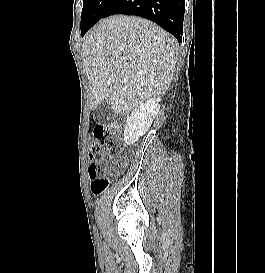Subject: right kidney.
<instances>
[{
    "mask_svg": "<svg viewBox=\"0 0 265 273\" xmlns=\"http://www.w3.org/2000/svg\"><path fill=\"white\" fill-rule=\"evenodd\" d=\"M161 97H153L133 109L124 128V141L135 144L150 128L160 110Z\"/></svg>",
    "mask_w": 265,
    "mask_h": 273,
    "instance_id": "right-kidney-1",
    "label": "right kidney"
}]
</instances>
